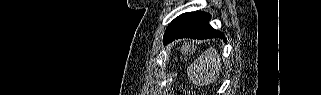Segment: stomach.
Wrapping results in <instances>:
<instances>
[{
	"label": "stomach",
	"mask_w": 321,
	"mask_h": 95,
	"mask_svg": "<svg viewBox=\"0 0 321 95\" xmlns=\"http://www.w3.org/2000/svg\"><path fill=\"white\" fill-rule=\"evenodd\" d=\"M184 48H185V50H188L189 47H188V46H184L183 49H184Z\"/></svg>",
	"instance_id": "stomach-1"
}]
</instances>
